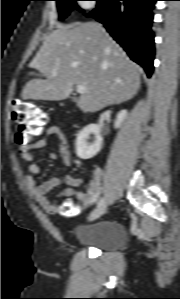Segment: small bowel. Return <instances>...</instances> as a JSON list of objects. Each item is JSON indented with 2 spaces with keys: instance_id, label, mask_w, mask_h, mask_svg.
Wrapping results in <instances>:
<instances>
[{
  "instance_id": "c3829d8e",
  "label": "small bowel",
  "mask_w": 180,
  "mask_h": 299,
  "mask_svg": "<svg viewBox=\"0 0 180 299\" xmlns=\"http://www.w3.org/2000/svg\"><path fill=\"white\" fill-rule=\"evenodd\" d=\"M43 133L44 136L34 140L30 144L29 149H41L45 147L47 137L55 135L59 138V147L56 152H51L49 154V158L53 160L60 159L64 165L69 166L71 164V153L69 150L68 137L64 129L57 124H53L46 127ZM20 156L22 159L31 162L28 167L29 174L26 176L28 190L46 212L55 213L58 210L57 205L47 198V194L60 186L62 178L60 176H52L42 184H37L34 176L40 172V167L37 163L33 162L35 157L28 151L23 150H21ZM100 176L101 170L96 169L88 188L85 191L76 193L75 188L80 185L81 181L78 177L68 175L65 179L67 186L62 190L61 194L66 198L75 196L79 200L81 206H87L97 199L100 187Z\"/></svg>"
}]
</instances>
